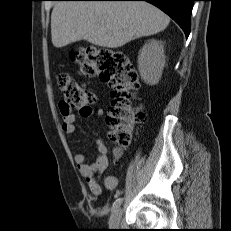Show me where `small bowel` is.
Masks as SVG:
<instances>
[{
	"instance_id": "small-bowel-1",
	"label": "small bowel",
	"mask_w": 231,
	"mask_h": 231,
	"mask_svg": "<svg viewBox=\"0 0 231 231\" xmlns=\"http://www.w3.org/2000/svg\"><path fill=\"white\" fill-rule=\"evenodd\" d=\"M95 113L97 116L103 115L102 109L93 111L91 108L80 110V115L89 117ZM76 116L72 113L64 114L61 128L66 134H73L75 132ZM97 153L94 155L93 161L87 163L85 156L82 153L74 155V161L79 169V172L86 180L91 193L94 196H100L102 193V186L96 180V174L103 173L108 167L107 148L101 138L96 140ZM121 157V151L118 148L114 149V159L118 161ZM118 180L114 176H106L103 181L104 188L114 190L117 187Z\"/></svg>"
}]
</instances>
